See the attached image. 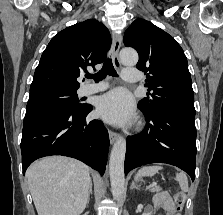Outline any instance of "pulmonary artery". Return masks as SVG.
I'll return each mask as SVG.
<instances>
[{
    "instance_id": "pulmonary-artery-1",
    "label": "pulmonary artery",
    "mask_w": 223,
    "mask_h": 215,
    "mask_svg": "<svg viewBox=\"0 0 223 215\" xmlns=\"http://www.w3.org/2000/svg\"><path fill=\"white\" fill-rule=\"evenodd\" d=\"M121 74H124V80L127 83H136L141 77L142 69H130V66H127V69H121ZM109 86L107 82H98L95 84H87L83 89V94L89 95L106 89Z\"/></svg>"
}]
</instances>
